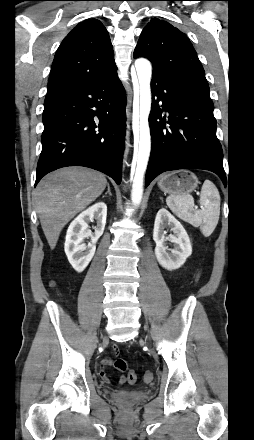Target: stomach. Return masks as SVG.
<instances>
[{
    "instance_id": "obj_1",
    "label": "stomach",
    "mask_w": 254,
    "mask_h": 440,
    "mask_svg": "<svg viewBox=\"0 0 254 440\" xmlns=\"http://www.w3.org/2000/svg\"><path fill=\"white\" fill-rule=\"evenodd\" d=\"M198 178L188 170H178L164 174L158 181L159 188L171 195L189 194L198 185Z\"/></svg>"
}]
</instances>
